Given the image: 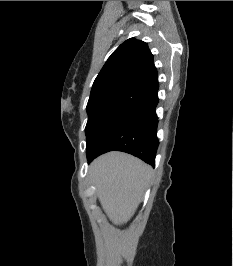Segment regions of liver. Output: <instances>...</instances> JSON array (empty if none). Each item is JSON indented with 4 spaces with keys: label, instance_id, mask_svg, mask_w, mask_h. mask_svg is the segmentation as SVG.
<instances>
[{
    "label": "liver",
    "instance_id": "6515ba94",
    "mask_svg": "<svg viewBox=\"0 0 233 266\" xmlns=\"http://www.w3.org/2000/svg\"><path fill=\"white\" fill-rule=\"evenodd\" d=\"M89 173L110 221L127 223L141 201L151 168L136 157L114 151L95 159Z\"/></svg>",
    "mask_w": 233,
    "mask_h": 266
}]
</instances>
